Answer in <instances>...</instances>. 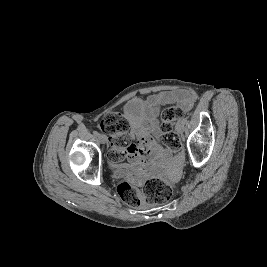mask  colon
Returning <instances> with one entry per match:
<instances>
[{"label": "colon", "mask_w": 267, "mask_h": 267, "mask_svg": "<svg viewBox=\"0 0 267 267\" xmlns=\"http://www.w3.org/2000/svg\"><path fill=\"white\" fill-rule=\"evenodd\" d=\"M183 116V111L178 106H170L161 113L160 122L156 130L162 138L166 148L171 152L180 151L182 144L175 131V123ZM100 129L109 137L108 160L113 164L124 161L131 153L132 141L129 136V124L119 113L110 112L103 116ZM121 199L134 206L140 200V192L131 183L123 181L117 187ZM172 196V188L169 184L151 179L147 181L144 188V197L147 201L154 203H165Z\"/></svg>", "instance_id": "1"}]
</instances>
